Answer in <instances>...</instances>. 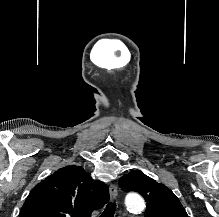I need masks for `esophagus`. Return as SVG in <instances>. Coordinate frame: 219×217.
I'll return each instance as SVG.
<instances>
[{
  "label": "esophagus",
  "mask_w": 219,
  "mask_h": 217,
  "mask_svg": "<svg viewBox=\"0 0 219 217\" xmlns=\"http://www.w3.org/2000/svg\"><path fill=\"white\" fill-rule=\"evenodd\" d=\"M109 194H110V200L111 202H114L117 198L118 195V189L117 185L114 183H111L109 186Z\"/></svg>",
  "instance_id": "obj_1"
}]
</instances>
